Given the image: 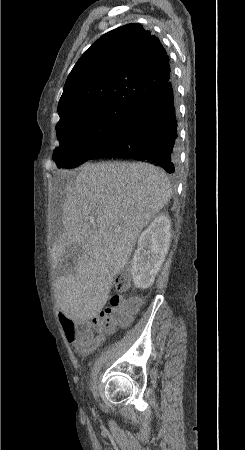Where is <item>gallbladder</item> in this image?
Instances as JSON below:
<instances>
[{
    "instance_id": "bac80fb5",
    "label": "gallbladder",
    "mask_w": 245,
    "mask_h": 450,
    "mask_svg": "<svg viewBox=\"0 0 245 450\" xmlns=\"http://www.w3.org/2000/svg\"><path fill=\"white\" fill-rule=\"evenodd\" d=\"M81 252L82 249L80 247L74 245L68 247L63 254L62 260L57 269V273L61 275L71 271V267L73 266L74 261L78 258Z\"/></svg>"
}]
</instances>
